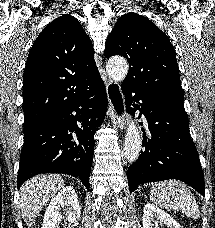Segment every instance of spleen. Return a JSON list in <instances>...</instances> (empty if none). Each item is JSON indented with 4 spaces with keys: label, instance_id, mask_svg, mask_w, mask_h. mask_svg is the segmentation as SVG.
Listing matches in <instances>:
<instances>
[{
    "label": "spleen",
    "instance_id": "obj_1",
    "mask_svg": "<svg viewBox=\"0 0 215 228\" xmlns=\"http://www.w3.org/2000/svg\"><path fill=\"white\" fill-rule=\"evenodd\" d=\"M150 198L164 210H178L187 218H200L199 206L186 184L177 180L155 182L150 190Z\"/></svg>",
    "mask_w": 215,
    "mask_h": 228
}]
</instances>
